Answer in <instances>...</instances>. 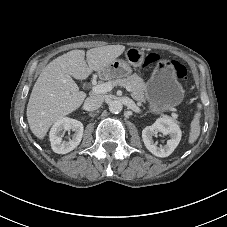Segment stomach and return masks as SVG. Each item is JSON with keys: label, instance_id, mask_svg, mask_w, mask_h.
Listing matches in <instances>:
<instances>
[{"label": "stomach", "instance_id": "stomach-1", "mask_svg": "<svg viewBox=\"0 0 227 227\" xmlns=\"http://www.w3.org/2000/svg\"><path fill=\"white\" fill-rule=\"evenodd\" d=\"M126 60L116 59L100 71L105 79L128 76L133 67H138L144 60V52L138 48H130L125 53ZM172 61L158 64L150 80L147 82L145 98L153 113H162L179 105L184 98V89L177 81Z\"/></svg>", "mask_w": 227, "mask_h": 227}]
</instances>
